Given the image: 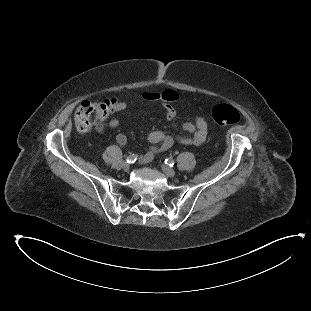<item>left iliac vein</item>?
Masks as SVG:
<instances>
[{"mask_svg": "<svg viewBox=\"0 0 311 311\" xmlns=\"http://www.w3.org/2000/svg\"><path fill=\"white\" fill-rule=\"evenodd\" d=\"M163 172L168 176V177H174L175 176V171L173 168L166 166V165H162L161 166Z\"/></svg>", "mask_w": 311, "mask_h": 311, "instance_id": "1", "label": "left iliac vein"}]
</instances>
